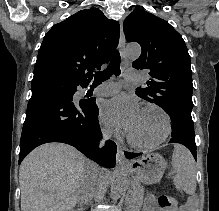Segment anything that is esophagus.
Here are the masks:
<instances>
[{
	"label": "esophagus",
	"instance_id": "obj_1",
	"mask_svg": "<svg viewBox=\"0 0 219 211\" xmlns=\"http://www.w3.org/2000/svg\"><path fill=\"white\" fill-rule=\"evenodd\" d=\"M119 51H120V54H121V59L123 61H125L126 60L125 36H124V32H123V22H122V20H120ZM116 160H117L118 165L128 164L127 160L125 159L124 151H123L121 146H118Z\"/></svg>",
	"mask_w": 219,
	"mask_h": 211
}]
</instances>
